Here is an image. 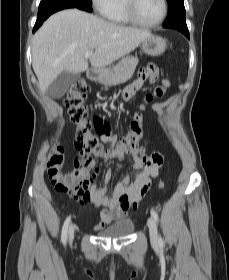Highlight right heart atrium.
Returning <instances> with one entry per match:
<instances>
[{
    "mask_svg": "<svg viewBox=\"0 0 229 280\" xmlns=\"http://www.w3.org/2000/svg\"><path fill=\"white\" fill-rule=\"evenodd\" d=\"M115 1L116 0H91V3L100 15L106 17L115 5Z\"/></svg>",
    "mask_w": 229,
    "mask_h": 280,
    "instance_id": "1",
    "label": "right heart atrium"
}]
</instances>
